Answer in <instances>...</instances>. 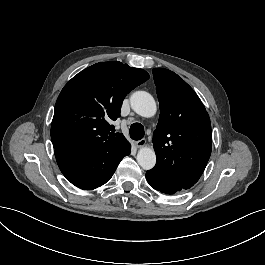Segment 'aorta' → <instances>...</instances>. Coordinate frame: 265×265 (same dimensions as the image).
I'll return each mask as SVG.
<instances>
[{"mask_svg":"<svg viewBox=\"0 0 265 265\" xmlns=\"http://www.w3.org/2000/svg\"><path fill=\"white\" fill-rule=\"evenodd\" d=\"M131 108L142 117H152L156 113V102L153 96L146 91H136L130 97ZM137 162L144 170L152 169L156 164V155L153 149L142 147L137 153Z\"/></svg>","mask_w":265,"mask_h":265,"instance_id":"1","label":"aorta"}]
</instances>
